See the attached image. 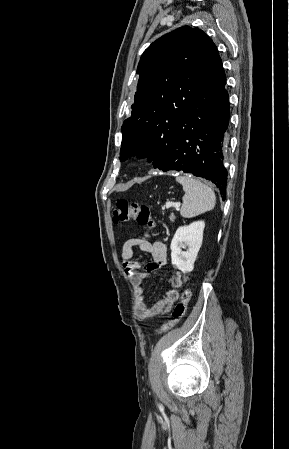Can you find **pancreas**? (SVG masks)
<instances>
[{"instance_id":"1","label":"pancreas","mask_w":289,"mask_h":449,"mask_svg":"<svg viewBox=\"0 0 289 449\" xmlns=\"http://www.w3.org/2000/svg\"><path fill=\"white\" fill-rule=\"evenodd\" d=\"M169 218H170V220H171L172 222H174V220H175L174 214H171V215L169 216Z\"/></svg>"}]
</instances>
